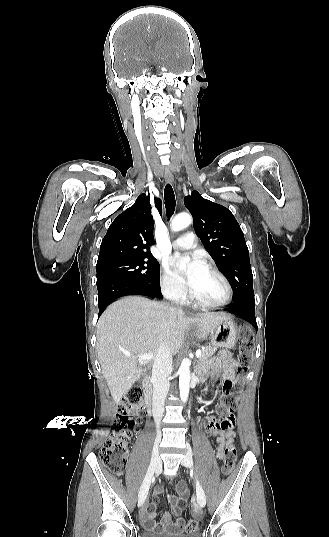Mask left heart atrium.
<instances>
[{
  "label": "left heart atrium",
  "mask_w": 329,
  "mask_h": 537,
  "mask_svg": "<svg viewBox=\"0 0 329 537\" xmlns=\"http://www.w3.org/2000/svg\"><path fill=\"white\" fill-rule=\"evenodd\" d=\"M181 258L174 256L170 259V264L182 274L186 285L192 290L197 282V279L204 269V262L199 254H193L191 257V263L189 269L186 272H182L179 269Z\"/></svg>",
  "instance_id": "1"
}]
</instances>
